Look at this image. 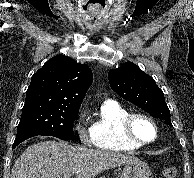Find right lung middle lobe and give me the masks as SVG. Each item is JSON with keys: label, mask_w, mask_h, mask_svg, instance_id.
<instances>
[{"label": "right lung middle lobe", "mask_w": 194, "mask_h": 178, "mask_svg": "<svg viewBox=\"0 0 194 178\" xmlns=\"http://www.w3.org/2000/svg\"><path fill=\"white\" fill-rule=\"evenodd\" d=\"M79 108L48 99L26 100L17 129V137L27 135L74 139L73 122Z\"/></svg>", "instance_id": "right-lung-middle-lobe-1"}]
</instances>
